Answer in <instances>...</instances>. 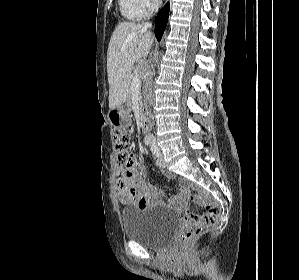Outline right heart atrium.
<instances>
[{
	"mask_svg": "<svg viewBox=\"0 0 299 280\" xmlns=\"http://www.w3.org/2000/svg\"><path fill=\"white\" fill-rule=\"evenodd\" d=\"M143 9L149 13L152 12L158 6V0H139Z\"/></svg>",
	"mask_w": 299,
	"mask_h": 280,
	"instance_id": "obj_1",
	"label": "right heart atrium"
}]
</instances>
